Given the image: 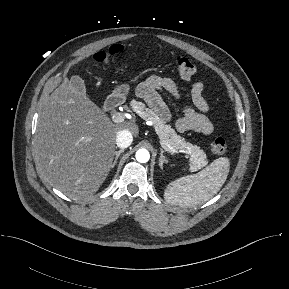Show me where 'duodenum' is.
<instances>
[{
  "instance_id": "obj_1",
  "label": "duodenum",
  "mask_w": 289,
  "mask_h": 289,
  "mask_svg": "<svg viewBox=\"0 0 289 289\" xmlns=\"http://www.w3.org/2000/svg\"><path fill=\"white\" fill-rule=\"evenodd\" d=\"M122 103V98L119 95H111L105 102V108L107 111H114L117 109Z\"/></svg>"
}]
</instances>
